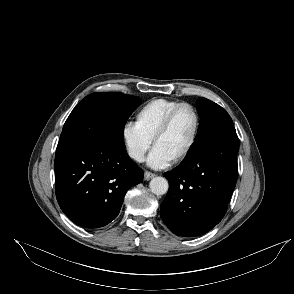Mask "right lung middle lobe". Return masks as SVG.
Returning a JSON list of instances; mask_svg holds the SVG:
<instances>
[{
    "label": "right lung middle lobe",
    "instance_id": "dd1d6c3e",
    "mask_svg": "<svg viewBox=\"0 0 294 294\" xmlns=\"http://www.w3.org/2000/svg\"><path fill=\"white\" fill-rule=\"evenodd\" d=\"M141 99L118 92L93 93L80 101L67 118L57 150L96 140L124 141V126ZM56 150V151H57Z\"/></svg>",
    "mask_w": 294,
    "mask_h": 294
}]
</instances>
